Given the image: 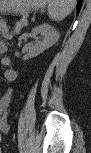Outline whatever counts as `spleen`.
Returning a JSON list of instances; mask_svg holds the SVG:
<instances>
[{"instance_id": "3e777b00", "label": "spleen", "mask_w": 91, "mask_h": 153, "mask_svg": "<svg viewBox=\"0 0 91 153\" xmlns=\"http://www.w3.org/2000/svg\"><path fill=\"white\" fill-rule=\"evenodd\" d=\"M74 7L73 0H49L48 15L52 20H61L67 16Z\"/></svg>"}]
</instances>
